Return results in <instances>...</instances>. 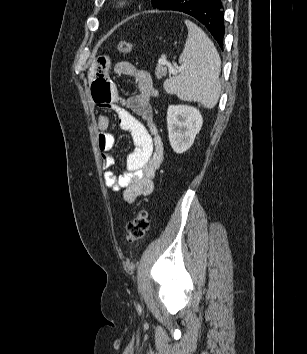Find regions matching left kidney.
Here are the masks:
<instances>
[{
	"label": "left kidney",
	"mask_w": 307,
	"mask_h": 354,
	"mask_svg": "<svg viewBox=\"0 0 307 354\" xmlns=\"http://www.w3.org/2000/svg\"><path fill=\"white\" fill-rule=\"evenodd\" d=\"M203 118L200 111L188 105H170L167 110L168 136L174 152L181 154L194 143L201 130Z\"/></svg>",
	"instance_id": "1"
}]
</instances>
